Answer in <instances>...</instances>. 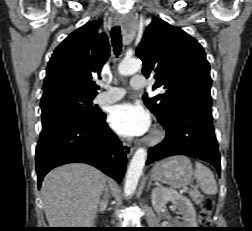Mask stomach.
<instances>
[{
  "instance_id": "stomach-1",
  "label": "stomach",
  "mask_w": 252,
  "mask_h": 231,
  "mask_svg": "<svg viewBox=\"0 0 252 231\" xmlns=\"http://www.w3.org/2000/svg\"><path fill=\"white\" fill-rule=\"evenodd\" d=\"M193 174L192 164L186 156H173L158 162L150 172L153 180L169 184L175 188L190 184Z\"/></svg>"
}]
</instances>
